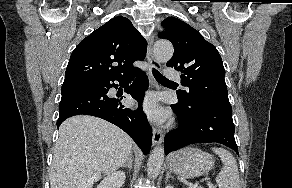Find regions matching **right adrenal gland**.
<instances>
[{
  "instance_id": "2a0ac1e0",
  "label": "right adrenal gland",
  "mask_w": 292,
  "mask_h": 188,
  "mask_svg": "<svg viewBox=\"0 0 292 188\" xmlns=\"http://www.w3.org/2000/svg\"><path fill=\"white\" fill-rule=\"evenodd\" d=\"M122 168H128L129 171L132 169V156H130L129 160L121 166Z\"/></svg>"
}]
</instances>
